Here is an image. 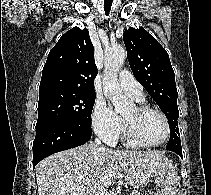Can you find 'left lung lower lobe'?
<instances>
[{"label": "left lung lower lobe", "mask_w": 211, "mask_h": 195, "mask_svg": "<svg viewBox=\"0 0 211 195\" xmlns=\"http://www.w3.org/2000/svg\"><path fill=\"white\" fill-rule=\"evenodd\" d=\"M173 152L177 153L182 158V149H176Z\"/></svg>", "instance_id": "obj_1"}]
</instances>
